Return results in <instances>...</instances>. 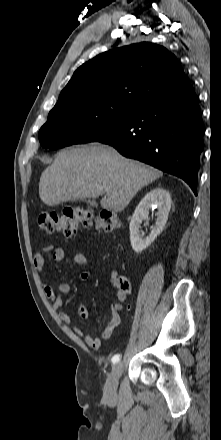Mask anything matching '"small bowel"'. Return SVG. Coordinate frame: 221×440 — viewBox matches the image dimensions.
<instances>
[{"instance_id":"1","label":"small bowel","mask_w":221,"mask_h":440,"mask_svg":"<svg viewBox=\"0 0 221 440\" xmlns=\"http://www.w3.org/2000/svg\"><path fill=\"white\" fill-rule=\"evenodd\" d=\"M43 250L44 252H52L53 259L57 262H61L65 258V250L63 247L54 248L51 244H48L44 246ZM73 261L76 264L82 266H87L89 264L88 258L80 252L74 254ZM33 266L38 273H41L44 270L45 258L41 252H37L34 254ZM88 277L89 271L82 272L80 276L81 280H86ZM112 282L113 285L116 287L117 301L111 304V318L107 326L98 336L94 335L93 333H88L84 337L85 343L92 349H98L102 341L108 339L112 335L114 329L120 324L119 312L122 310V304L126 300V294L118 288V281L116 279H113ZM43 290L45 295L52 301V308L55 311H58L62 307L63 297L71 292V285L67 282H62L58 285L57 290H55L50 285L44 284ZM78 316L82 320H86L89 317L88 308L84 303H80L78 306ZM58 317L60 321L66 325H69L71 323V317L66 312H59ZM73 330L76 335H83V330L80 327L76 326L73 328Z\"/></svg>"}]
</instances>
